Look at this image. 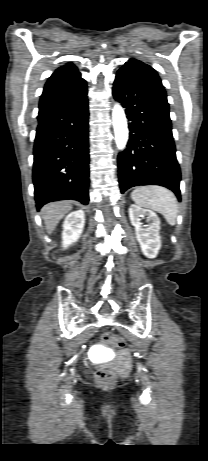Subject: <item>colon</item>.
Here are the masks:
<instances>
[{
  "label": "colon",
  "mask_w": 208,
  "mask_h": 461,
  "mask_svg": "<svg viewBox=\"0 0 208 461\" xmlns=\"http://www.w3.org/2000/svg\"><path fill=\"white\" fill-rule=\"evenodd\" d=\"M101 342L106 345H114L118 348H124L126 346V341L122 337L112 333H104L101 337ZM126 355H128V353H126ZM95 380L100 386H110L116 380V372L109 367L100 368L95 373Z\"/></svg>",
  "instance_id": "colon-1"
}]
</instances>
